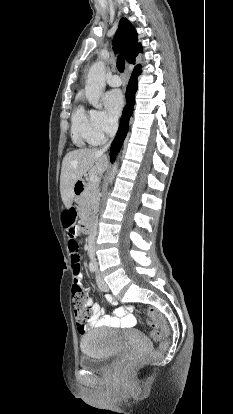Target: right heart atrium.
I'll return each mask as SVG.
<instances>
[{
    "label": "right heart atrium",
    "instance_id": "obj_1",
    "mask_svg": "<svg viewBox=\"0 0 233 414\" xmlns=\"http://www.w3.org/2000/svg\"><path fill=\"white\" fill-rule=\"evenodd\" d=\"M90 115L96 141L101 143L115 130L116 119L103 109H91Z\"/></svg>",
    "mask_w": 233,
    "mask_h": 414
}]
</instances>
